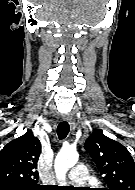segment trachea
<instances>
[{"mask_svg": "<svg viewBox=\"0 0 135 190\" xmlns=\"http://www.w3.org/2000/svg\"><path fill=\"white\" fill-rule=\"evenodd\" d=\"M69 133V124L68 122H61L57 127V134L60 140L67 137Z\"/></svg>", "mask_w": 135, "mask_h": 190, "instance_id": "obj_1", "label": "trachea"}]
</instances>
